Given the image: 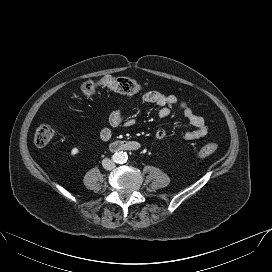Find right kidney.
Here are the masks:
<instances>
[{
    "label": "right kidney",
    "instance_id": "right-kidney-1",
    "mask_svg": "<svg viewBox=\"0 0 272 272\" xmlns=\"http://www.w3.org/2000/svg\"><path fill=\"white\" fill-rule=\"evenodd\" d=\"M79 153V148H73L72 150H71V155H76V154H78Z\"/></svg>",
    "mask_w": 272,
    "mask_h": 272
}]
</instances>
